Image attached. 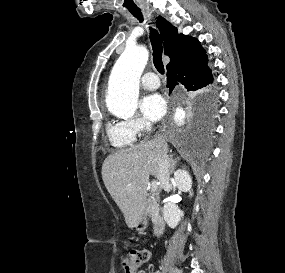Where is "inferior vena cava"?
Masks as SVG:
<instances>
[{"mask_svg": "<svg viewBox=\"0 0 285 273\" xmlns=\"http://www.w3.org/2000/svg\"><path fill=\"white\" fill-rule=\"evenodd\" d=\"M145 127H146L147 132L151 131L150 122H146ZM158 160H159L158 179L161 183V186L165 187L169 184V177H170V171H171V163L167 155V152L166 151L160 152Z\"/></svg>", "mask_w": 285, "mask_h": 273, "instance_id": "inferior-vena-cava-1", "label": "inferior vena cava"}]
</instances>
